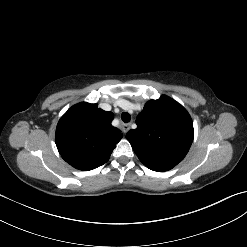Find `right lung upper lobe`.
<instances>
[{"label": "right lung upper lobe", "instance_id": "1", "mask_svg": "<svg viewBox=\"0 0 247 247\" xmlns=\"http://www.w3.org/2000/svg\"><path fill=\"white\" fill-rule=\"evenodd\" d=\"M113 118V113L97 104L83 102L72 106L56 129V145L62 158L83 171L106 163L123 136L111 125Z\"/></svg>", "mask_w": 247, "mask_h": 247}]
</instances>
